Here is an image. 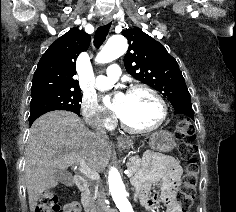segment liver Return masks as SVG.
Returning a JSON list of instances; mask_svg holds the SVG:
<instances>
[{"mask_svg":"<svg viewBox=\"0 0 236 212\" xmlns=\"http://www.w3.org/2000/svg\"><path fill=\"white\" fill-rule=\"evenodd\" d=\"M111 143L90 131L76 114L52 111L31 126L25 155V180L30 211L39 196L58 185L57 170L65 171L81 160L94 171H102L109 161Z\"/></svg>","mask_w":236,"mask_h":212,"instance_id":"liver-1","label":"liver"}]
</instances>
